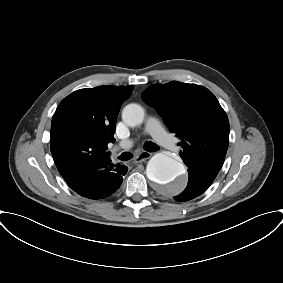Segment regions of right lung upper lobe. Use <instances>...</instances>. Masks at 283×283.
Here are the masks:
<instances>
[{
    "instance_id": "obj_1",
    "label": "right lung upper lobe",
    "mask_w": 283,
    "mask_h": 283,
    "mask_svg": "<svg viewBox=\"0 0 283 283\" xmlns=\"http://www.w3.org/2000/svg\"><path fill=\"white\" fill-rule=\"evenodd\" d=\"M133 86L80 89L58 105L51 124V153L59 173L66 177L77 168L108 157L114 142L120 107Z\"/></svg>"
}]
</instances>
